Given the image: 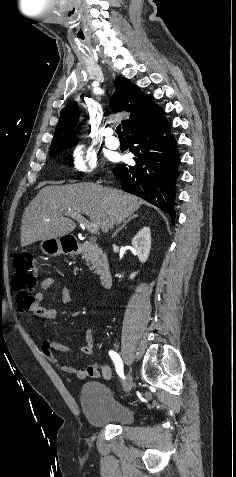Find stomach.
Here are the masks:
<instances>
[{
  "mask_svg": "<svg viewBox=\"0 0 236 477\" xmlns=\"http://www.w3.org/2000/svg\"><path fill=\"white\" fill-rule=\"evenodd\" d=\"M61 238H52L42 240L40 244L41 251L49 256H57L62 253H72V250H66L62 244Z\"/></svg>",
  "mask_w": 236,
  "mask_h": 477,
  "instance_id": "1",
  "label": "stomach"
}]
</instances>
